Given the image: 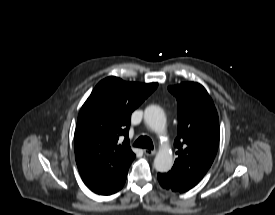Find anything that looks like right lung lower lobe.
Here are the masks:
<instances>
[{
  "label": "right lung lower lobe",
  "instance_id": "obj_1",
  "mask_svg": "<svg viewBox=\"0 0 275 215\" xmlns=\"http://www.w3.org/2000/svg\"><path fill=\"white\" fill-rule=\"evenodd\" d=\"M128 169H125L123 172L117 175L105 176L99 180H96L92 183L86 184L93 192L101 195H110L119 191L127 177Z\"/></svg>",
  "mask_w": 275,
  "mask_h": 215
}]
</instances>
